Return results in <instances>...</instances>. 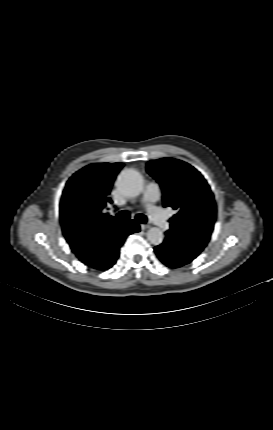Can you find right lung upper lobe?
Segmentation results:
<instances>
[{
    "instance_id": "1",
    "label": "right lung upper lobe",
    "mask_w": 273,
    "mask_h": 430,
    "mask_svg": "<svg viewBox=\"0 0 273 430\" xmlns=\"http://www.w3.org/2000/svg\"><path fill=\"white\" fill-rule=\"evenodd\" d=\"M123 163H94L77 171L67 181L60 201V220L67 242L76 256L85 260L89 246L104 231L116 230V223L105 213L111 187ZM126 224V223H125Z\"/></svg>"
}]
</instances>
